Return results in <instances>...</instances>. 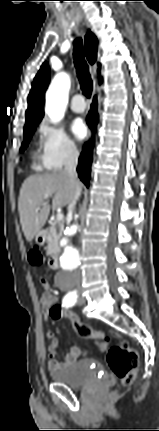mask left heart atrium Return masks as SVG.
I'll list each match as a JSON object with an SVG mask.
<instances>
[{
  "mask_svg": "<svg viewBox=\"0 0 159 431\" xmlns=\"http://www.w3.org/2000/svg\"><path fill=\"white\" fill-rule=\"evenodd\" d=\"M70 130H71L73 136L78 140L83 139L87 133V129H86L84 122L79 118L75 119L71 123Z\"/></svg>",
  "mask_w": 159,
  "mask_h": 431,
  "instance_id": "39dd6f15",
  "label": "left heart atrium"
}]
</instances>
